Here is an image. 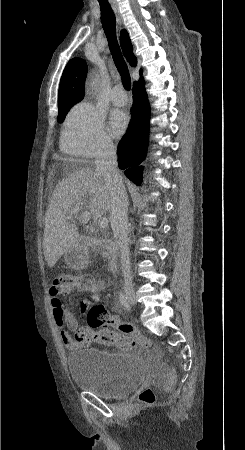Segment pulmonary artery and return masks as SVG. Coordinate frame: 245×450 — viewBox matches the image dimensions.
<instances>
[{
    "mask_svg": "<svg viewBox=\"0 0 245 450\" xmlns=\"http://www.w3.org/2000/svg\"><path fill=\"white\" fill-rule=\"evenodd\" d=\"M111 102L118 106L126 104L127 97L121 85L113 87L111 92Z\"/></svg>",
    "mask_w": 245,
    "mask_h": 450,
    "instance_id": "1",
    "label": "pulmonary artery"
}]
</instances>
